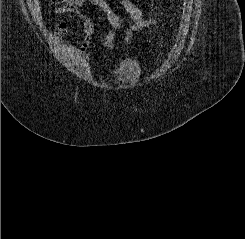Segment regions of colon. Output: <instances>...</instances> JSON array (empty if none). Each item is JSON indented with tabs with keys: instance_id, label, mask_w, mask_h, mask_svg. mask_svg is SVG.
<instances>
[{
	"instance_id": "5ec220e1",
	"label": "colon",
	"mask_w": 245,
	"mask_h": 239,
	"mask_svg": "<svg viewBox=\"0 0 245 239\" xmlns=\"http://www.w3.org/2000/svg\"><path fill=\"white\" fill-rule=\"evenodd\" d=\"M54 3H59L62 2V0H53ZM68 2H73V1H68Z\"/></svg>"
}]
</instances>
